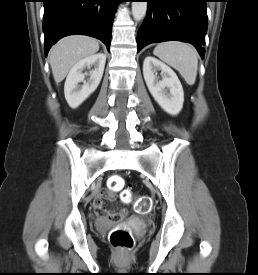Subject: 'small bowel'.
<instances>
[{"label": "small bowel", "mask_w": 258, "mask_h": 275, "mask_svg": "<svg viewBox=\"0 0 258 275\" xmlns=\"http://www.w3.org/2000/svg\"><path fill=\"white\" fill-rule=\"evenodd\" d=\"M115 198L112 191H101L93 202L95 211L102 217H108L109 211L104 205L105 200H113ZM124 213V212H123Z\"/></svg>", "instance_id": "small-bowel-1"}]
</instances>
